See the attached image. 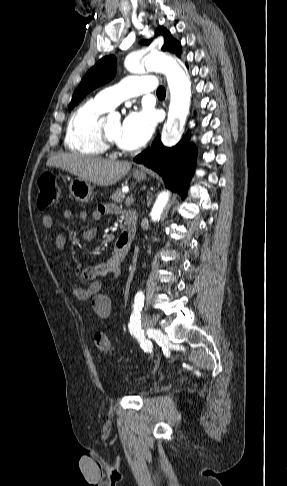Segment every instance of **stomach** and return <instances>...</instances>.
Returning a JSON list of instances; mask_svg holds the SVG:
<instances>
[{
  "instance_id": "stomach-1",
  "label": "stomach",
  "mask_w": 287,
  "mask_h": 486,
  "mask_svg": "<svg viewBox=\"0 0 287 486\" xmlns=\"http://www.w3.org/2000/svg\"><path fill=\"white\" fill-rule=\"evenodd\" d=\"M133 177L137 181H143L146 179V174L144 172L134 171ZM69 190L78 202L87 203L92 195L93 186L91 182L77 178L71 181Z\"/></svg>"
}]
</instances>
